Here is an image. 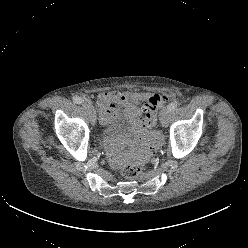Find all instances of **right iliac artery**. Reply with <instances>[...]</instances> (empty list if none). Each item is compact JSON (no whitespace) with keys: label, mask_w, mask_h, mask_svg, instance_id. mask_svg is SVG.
Returning <instances> with one entry per match:
<instances>
[{"label":"right iliac artery","mask_w":248,"mask_h":248,"mask_svg":"<svg viewBox=\"0 0 248 248\" xmlns=\"http://www.w3.org/2000/svg\"><path fill=\"white\" fill-rule=\"evenodd\" d=\"M73 101L76 103V104H81L83 102L82 98L79 97V96H74L73 97Z\"/></svg>","instance_id":"1"}]
</instances>
